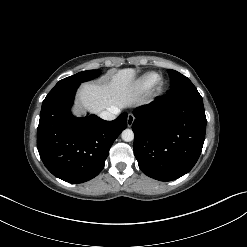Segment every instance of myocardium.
Masks as SVG:
<instances>
[{
    "label": "myocardium",
    "mask_w": 247,
    "mask_h": 247,
    "mask_svg": "<svg viewBox=\"0 0 247 247\" xmlns=\"http://www.w3.org/2000/svg\"><path fill=\"white\" fill-rule=\"evenodd\" d=\"M159 86L162 85V80L160 78H158L157 82H156Z\"/></svg>",
    "instance_id": "obj_1"
}]
</instances>
